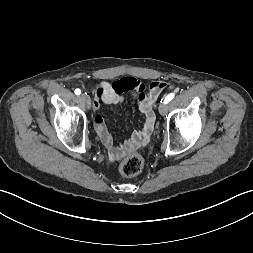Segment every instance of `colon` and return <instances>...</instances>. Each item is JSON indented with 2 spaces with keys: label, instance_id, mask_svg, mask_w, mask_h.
<instances>
[{
  "label": "colon",
  "instance_id": "1",
  "mask_svg": "<svg viewBox=\"0 0 253 253\" xmlns=\"http://www.w3.org/2000/svg\"><path fill=\"white\" fill-rule=\"evenodd\" d=\"M143 166V158L138 154H132L120 163L119 170L122 175L131 177L140 173Z\"/></svg>",
  "mask_w": 253,
  "mask_h": 253
}]
</instances>
